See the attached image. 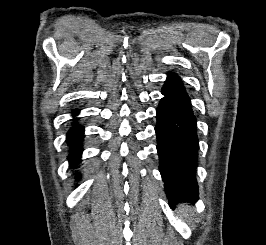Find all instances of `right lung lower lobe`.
<instances>
[{
    "label": "right lung lower lobe",
    "instance_id": "obj_1",
    "mask_svg": "<svg viewBox=\"0 0 266 245\" xmlns=\"http://www.w3.org/2000/svg\"><path fill=\"white\" fill-rule=\"evenodd\" d=\"M78 109L73 110V114L78 113ZM84 127L74 122L73 126L67 132V142L70 146V154L68 160L71 164V167H76L80 163L82 145L81 141L84 138Z\"/></svg>",
    "mask_w": 266,
    "mask_h": 245
}]
</instances>
